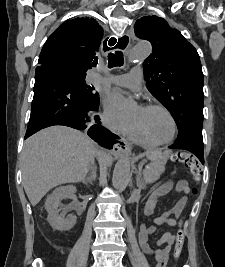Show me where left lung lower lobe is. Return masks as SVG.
<instances>
[{
  "instance_id": "1",
  "label": "left lung lower lobe",
  "mask_w": 225,
  "mask_h": 267,
  "mask_svg": "<svg viewBox=\"0 0 225 267\" xmlns=\"http://www.w3.org/2000/svg\"><path fill=\"white\" fill-rule=\"evenodd\" d=\"M170 148L190 151L204 164L203 137L200 128L191 130L182 139L176 140Z\"/></svg>"
}]
</instances>
